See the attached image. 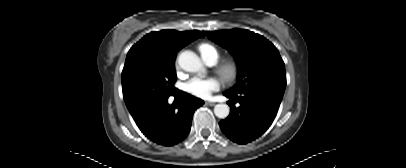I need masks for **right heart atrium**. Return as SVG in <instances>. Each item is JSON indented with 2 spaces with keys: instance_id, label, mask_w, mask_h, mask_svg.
<instances>
[{
  "instance_id": "right-heart-atrium-1",
  "label": "right heart atrium",
  "mask_w": 406,
  "mask_h": 168,
  "mask_svg": "<svg viewBox=\"0 0 406 168\" xmlns=\"http://www.w3.org/2000/svg\"><path fill=\"white\" fill-rule=\"evenodd\" d=\"M175 65H176V68H178V63H177V61H176Z\"/></svg>"
}]
</instances>
